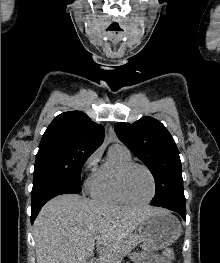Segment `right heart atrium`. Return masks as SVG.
I'll use <instances>...</instances> for the list:
<instances>
[{
  "mask_svg": "<svg viewBox=\"0 0 220 263\" xmlns=\"http://www.w3.org/2000/svg\"><path fill=\"white\" fill-rule=\"evenodd\" d=\"M100 159V151H94L85 161L84 168L85 171L89 173L87 180V189H90L92 180L97 172V165Z\"/></svg>",
  "mask_w": 220,
  "mask_h": 263,
  "instance_id": "right-heart-atrium-1",
  "label": "right heart atrium"
}]
</instances>
